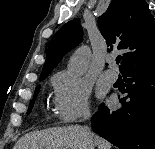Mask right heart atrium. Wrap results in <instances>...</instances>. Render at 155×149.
I'll list each match as a JSON object with an SVG mask.
<instances>
[{"instance_id": "right-heart-atrium-1", "label": "right heart atrium", "mask_w": 155, "mask_h": 149, "mask_svg": "<svg viewBox=\"0 0 155 149\" xmlns=\"http://www.w3.org/2000/svg\"><path fill=\"white\" fill-rule=\"evenodd\" d=\"M52 84L55 114L60 122L72 123L90 116V88L82 78L61 71L54 75Z\"/></svg>"}]
</instances>
